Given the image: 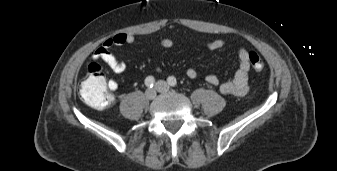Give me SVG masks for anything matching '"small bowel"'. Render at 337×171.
Listing matches in <instances>:
<instances>
[{
	"label": "small bowel",
	"instance_id": "c3829d8e",
	"mask_svg": "<svg viewBox=\"0 0 337 171\" xmlns=\"http://www.w3.org/2000/svg\"><path fill=\"white\" fill-rule=\"evenodd\" d=\"M134 42V35L130 33H117L114 36L107 38L94 52L93 60L103 61L114 73H123L127 68L126 63L114 55L110 49L113 46L131 45ZM225 44L224 40L215 39L206 42L204 46L210 50H218L223 48ZM160 45L163 48L169 49L174 46V41L170 38H164L160 41ZM249 54L250 52L245 48H240L238 50L237 56L239 65L231 80L220 83L219 78L215 74L210 73L205 77L206 82L212 86H218L220 92L225 95L244 96L249 90V72L251 68ZM186 75L188 78L194 79L197 77L198 72L194 68H189L186 71ZM107 85L112 92H115L118 89V83L113 79L108 80Z\"/></svg>",
	"mask_w": 337,
	"mask_h": 171
}]
</instances>
